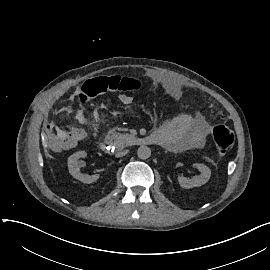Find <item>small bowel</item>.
Listing matches in <instances>:
<instances>
[{"mask_svg":"<svg viewBox=\"0 0 270 270\" xmlns=\"http://www.w3.org/2000/svg\"><path fill=\"white\" fill-rule=\"evenodd\" d=\"M148 76L164 84L171 95L181 99L184 94L183 85L171 75L162 72H149ZM123 105H130L133 98L127 94L119 95ZM155 133L160 137L162 146L170 152H183L189 149H198L205 144L209 133V125L204 116L197 114L193 118H176L163 123ZM45 137L51 142L56 152L74 148L78 139L71 132H64L58 125H50L45 130Z\"/></svg>","mask_w":270,"mask_h":270,"instance_id":"c3829d8e","label":"small bowel"}]
</instances>
